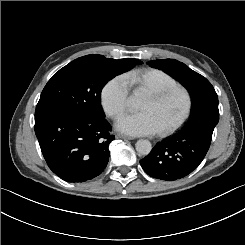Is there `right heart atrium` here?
<instances>
[{
    "instance_id": "d8ad5b80",
    "label": "right heart atrium",
    "mask_w": 245,
    "mask_h": 245,
    "mask_svg": "<svg viewBox=\"0 0 245 245\" xmlns=\"http://www.w3.org/2000/svg\"><path fill=\"white\" fill-rule=\"evenodd\" d=\"M129 87L120 77L110 79L102 88L100 101L106 114L117 119L126 110Z\"/></svg>"
}]
</instances>
